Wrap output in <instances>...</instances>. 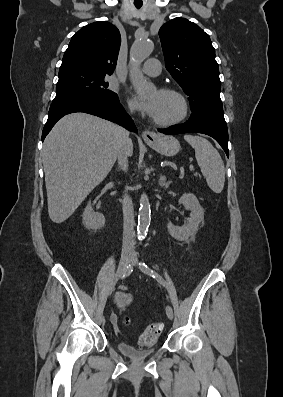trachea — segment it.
Wrapping results in <instances>:
<instances>
[{
	"mask_svg": "<svg viewBox=\"0 0 283 397\" xmlns=\"http://www.w3.org/2000/svg\"><path fill=\"white\" fill-rule=\"evenodd\" d=\"M142 5H135L137 9H140Z\"/></svg>",
	"mask_w": 283,
	"mask_h": 397,
	"instance_id": "1",
	"label": "trachea"
}]
</instances>
